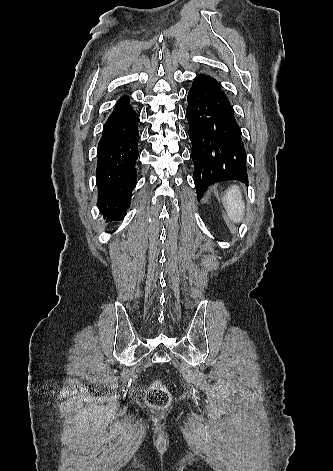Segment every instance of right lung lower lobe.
<instances>
[{
    "label": "right lung lower lobe",
    "mask_w": 333,
    "mask_h": 471,
    "mask_svg": "<svg viewBox=\"0 0 333 471\" xmlns=\"http://www.w3.org/2000/svg\"><path fill=\"white\" fill-rule=\"evenodd\" d=\"M138 115L129 97L121 98L104 125L98 144L97 206L107 220H122L137 182Z\"/></svg>",
    "instance_id": "98d812e1"
}]
</instances>
